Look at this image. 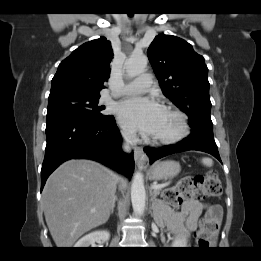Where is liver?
<instances>
[{
    "label": "liver",
    "mask_w": 261,
    "mask_h": 261,
    "mask_svg": "<svg viewBox=\"0 0 261 261\" xmlns=\"http://www.w3.org/2000/svg\"><path fill=\"white\" fill-rule=\"evenodd\" d=\"M118 182L123 183L113 171L91 160H69L51 174L42 204L58 248H70L83 234L107 222Z\"/></svg>",
    "instance_id": "obj_1"
}]
</instances>
